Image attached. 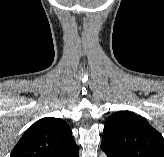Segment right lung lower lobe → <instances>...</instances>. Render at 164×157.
I'll use <instances>...</instances> for the list:
<instances>
[{"mask_svg":"<svg viewBox=\"0 0 164 157\" xmlns=\"http://www.w3.org/2000/svg\"><path fill=\"white\" fill-rule=\"evenodd\" d=\"M61 157H79L78 147L72 148L71 150L63 154Z\"/></svg>","mask_w":164,"mask_h":157,"instance_id":"1","label":"right lung lower lobe"}]
</instances>
